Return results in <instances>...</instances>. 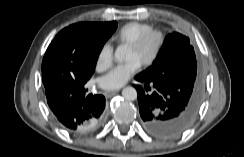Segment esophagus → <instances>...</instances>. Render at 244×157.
Returning <instances> with one entry per match:
<instances>
[{
  "mask_svg": "<svg viewBox=\"0 0 244 157\" xmlns=\"http://www.w3.org/2000/svg\"><path fill=\"white\" fill-rule=\"evenodd\" d=\"M118 91H119V90L108 91V92H107V96H108V97H112V96H114L115 94H117Z\"/></svg>",
  "mask_w": 244,
  "mask_h": 157,
  "instance_id": "34e87169",
  "label": "esophagus"
}]
</instances>
